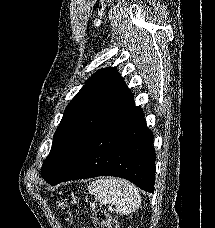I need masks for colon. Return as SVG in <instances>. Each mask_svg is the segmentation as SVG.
I'll return each mask as SVG.
<instances>
[{"label":"colon","instance_id":"1","mask_svg":"<svg viewBox=\"0 0 215 228\" xmlns=\"http://www.w3.org/2000/svg\"><path fill=\"white\" fill-rule=\"evenodd\" d=\"M92 219L97 228H116L114 219L104 209L94 210Z\"/></svg>","mask_w":215,"mask_h":228}]
</instances>
